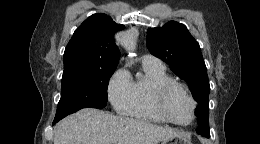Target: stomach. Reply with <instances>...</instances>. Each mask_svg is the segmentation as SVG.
<instances>
[{"label": "stomach", "instance_id": "0dacf381", "mask_svg": "<svg viewBox=\"0 0 260 144\" xmlns=\"http://www.w3.org/2000/svg\"><path fill=\"white\" fill-rule=\"evenodd\" d=\"M183 137L181 135L164 140L161 144H182Z\"/></svg>", "mask_w": 260, "mask_h": 144}]
</instances>
